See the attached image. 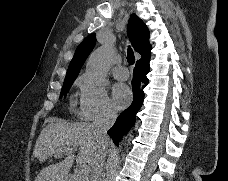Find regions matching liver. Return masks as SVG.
<instances>
[{
	"mask_svg": "<svg viewBox=\"0 0 228 181\" xmlns=\"http://www.w3.org/2000/svg\"><path fill=\"white\" fill-rule=\"evenodd\" d=\"M48 125L42 129L33 151V157L40 163L46 159L63 155L68 149L79 147L77 157L68 153L64 161L49 165L40 171L35 181H67L68 173L74 163L91 165L94 157L103 147L111 145L110 139H98L93 123H66L61 119H48Z\"/></svg>",
	"mask_w": 228,
	"mask_h": 181,
	"instance_id": "1",
	"label": "liver"
}]
</instances>
